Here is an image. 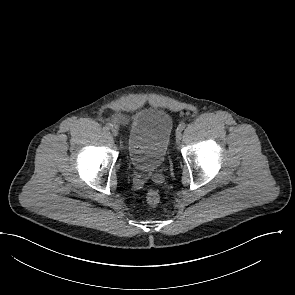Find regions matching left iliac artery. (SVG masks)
<instances>
[{
  "mask_svg": "<svg viewBox=\"0 0 295 295\" xmlns=\"http://www.w3.org/2000/svg\"><path fill=\"white\" fill-rule=\"evenodd\" d=\"M184 128H185V124H184V123H181V124H179L177 130H179V131H183Z\"/></svg>",
  "mask_w": 295,
  "mask_h": 295,
  "instance_id": "44dca946",
  "label": "left iliac artery"
}]
</instances>
